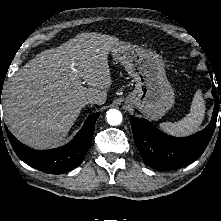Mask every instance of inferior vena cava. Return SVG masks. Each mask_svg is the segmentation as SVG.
<instances>
[{
  "label": "inferior vena cava",
  "mask_w": 221,
  "mask_h": 221,
  "mask_svg": "<svg viewBox=\"0 0 221 221\" xmlns=\"http://www.w3.org/2000/svg\"><path fill=\"white\" fill-rule=\"evenodd\" d=\"M96 101L94 100V99H92V98H88V99H86V100H84V104L86 105V104H92V103H95Z\"/></svg>",
  "instance_id": "602c4592"
}]
</instances>
